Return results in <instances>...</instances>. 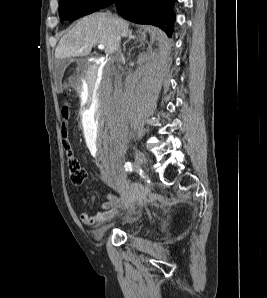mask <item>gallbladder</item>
Returning a JSON list of instances; mask_svg holds the SVG:
<instances>
[{
    "mask_svg": "<svg viewBox=\"0 0 267 298\" xmlns=\"http://www.w3.org/2000/svg\"><path fill=\"white\" fill-rule=\"evenodd\" d=\"M69 64V61L67 60H58L56 65H57V73H61L62 70Z\"/></svg>",
    "mask_w": 267,
    "mask_h": 298,
    "instance_id": "obj_1",
    "label": "gallbladder"
}]
</instances>
